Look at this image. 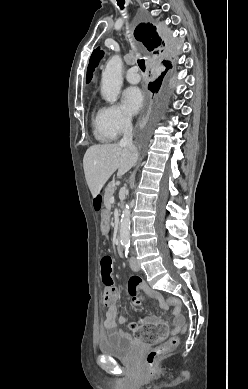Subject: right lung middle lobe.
Listing matches in <instances>:
<instances>
[{"label": "right lung middle lobe", "mask_w": 248, "mask_h": 389, "mask_svg": "<svg viewBox=\"0 0 248 389\" xmlns=\"http://www.w3.org/2000/svg\"><path fill=\"white\" fill-rule=\"evenodd\" d=\"M161 83H162V80H161L160 83L157 85L155 92H158V90L160 89ZM167 92H168V87H167L166 85H163L162 90H161V93H162V94H166Z\"/></svg>", "instance_id": "right-lung-middle-lobe-1"}]
</instances>
